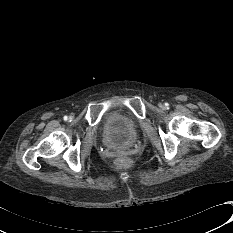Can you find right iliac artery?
Returning a JSON list of instances; mask_svg holds the SVG:
<instances>
[{
    "label": "right iliac artery",
    "mask_w": 233,
    "mask_h": 233,
    "mask_svg": "<svg viewBox=\"0 0 233 233\" xmlns=\"http://www.w3.org/2000/svg\"><path fill=\"white\" fill-rule=\"evenodd\" d=\"M63 119H64L65 121H67V120H68V117H67V116H64Z\"/></svg>",
    "instance_id": "obj_1"
}]
</instances>
